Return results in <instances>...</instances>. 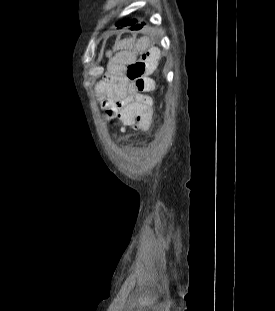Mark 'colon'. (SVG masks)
I'll list each match as a JSON object with an SVG mask.
<instances>
[{
  "mask_svg": "<svg viewBox=\"0 0 275 311\" xmlns=\"http://www.w3.org/2000/svg\"><path fill=\"white\" fill-rule=\"evenodd\" d=\"M156 65V57H140L127 68L128 77L135 83L136 89L141 92H149L153 88V80L148 76ZM136 127V126H135ZM114 130H123L121 119L113 124Z\"/></svg>",
  "mask_w": 275,
  "mask_h": 311,
  "instance_id": "obj_1",
  "label": "colon"
}]
</instances>
